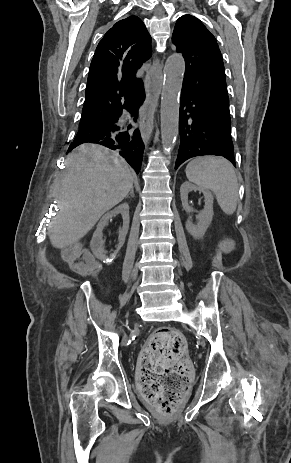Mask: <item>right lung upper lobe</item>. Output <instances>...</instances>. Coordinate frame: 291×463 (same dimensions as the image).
Returning <instances> with one entry per match:
<instances>
[{"label":"right lung upper lobe","instance_id":"right-lung-upper-lobe-1","mask_svg":"<svg viewBox=\"0 0 291 463\" xmlns=\"http://www.w3.org/2000/svg\"><path fill=\"white\" fill-rule=\"evenodd\" d=\"M151 37L136 16L117 22L99 42L93 56L81 120L109 114L143 90L138 69L151 57Z\"/></svg>","mask_w":291,"mask_h":463}]
</instances>
